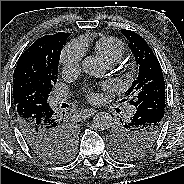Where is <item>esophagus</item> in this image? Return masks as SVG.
Listing matches in <instances>:
<instances>
[{
	"mask_svg": "<svg viewBox=\"0 0 184 184\" xmlns=\"http://www.w3.org/2000/svg\"><path fill=\"white\" fill-rule=\"evenodd\" d=\"M95 112H96V110H94V109H86L83 111V114L86 117H91L92 115H94Z\"/></svg>",
	"mask_w": 184,
	"mask_h": 184,
	"instance_id": "1",
	"label": "esophagus"
}]
</instances>
